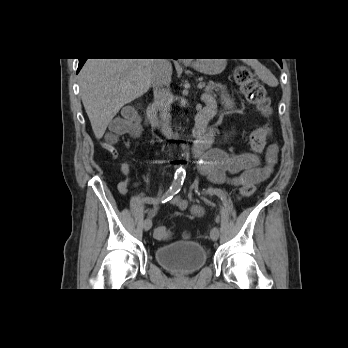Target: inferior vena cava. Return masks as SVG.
<instances>
[{
    "label": "inferior vena cava",
    "mask_w": 348,
    "mask_h": 348,
    "mask_svg": "<svg viewBox=\"0 0 348 348\" xmlns=\"http://www.w3.org/2000/svg\"><path fill=\"white\" fill-rule=\"evenodd\" d=\"M172 70L167 59H154L152 65V87L154 103L159 110L163 126L169 132L174 96L170 89Z\"/></svg>",
    "instance_id": "1"
}]
</instances>
